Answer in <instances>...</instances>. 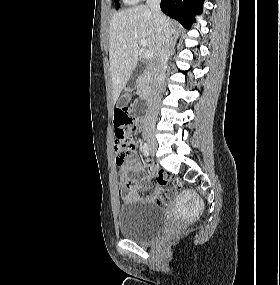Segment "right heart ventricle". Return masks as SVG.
<instances>
[{"instance_id": "e07e8e85", "label": "right heart ventricle", "mask_w": 280, "mask_h": 285, "mask_svg": "<svg viewBox=\"0 0 280 285\" xmlns=\"http://www.w3.org/2000/svg\"><path fill=\"white\" fill-rule=\"evenodd\" d=\"M126 3H132L134 1H137V0H124Z\"/></svg>"}]
</instances>
